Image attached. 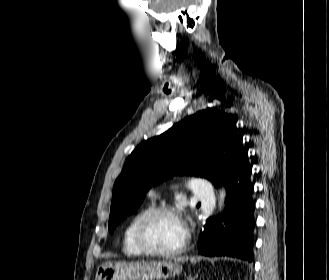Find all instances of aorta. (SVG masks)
Listing matches in <instances>:
<instances>
[{
    "instance_id": "aorta-1",
    "label": "aorta",
    "mask_w": 329,
    "mask_h": 280,
    "mask_svg": "<svg viewBox=\"0 0 329 280\" xmlns=\"http://www.w3.org/2000/svg\"><path fill=\"white\" fill-rule=\"evenodd\" d=\"M225 195H226V193H225V189L222 188V189L220 190V195H219V198H220V210H221L222 207L224 206Z\"/></svg>"
}]
</instances>
